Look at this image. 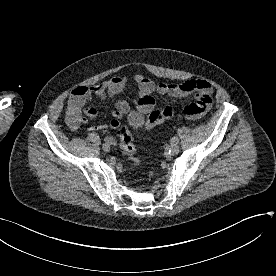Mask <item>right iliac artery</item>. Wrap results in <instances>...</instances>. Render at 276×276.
Listing matches in <instances>:
<instances>
[{"instance_id": "1", "label": "right iliac artery", "mask_w": 276, "mask_h": 276, "mask_svg": "<svg viewBox=\"0 0 276 276\" xmlns=\"http://www.w3.org/2000/svg\"><path fill=\"white\" fill-rule=\"evenodd\" d=\"M104 140L110 144H113L115 142V140L112 137H106Z\"/></svg>"}]
</instances>
